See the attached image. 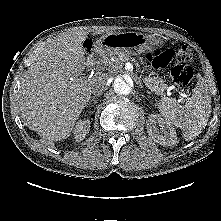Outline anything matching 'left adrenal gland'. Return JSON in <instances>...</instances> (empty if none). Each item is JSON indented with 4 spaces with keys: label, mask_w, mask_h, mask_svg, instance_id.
I'll return each instance as SVG.
<instances>
[{
    "label": "left adrenal gland",
    "mask_w": 221,
    "mask_h": 221,
    "mask_svg": "<svg viewBox=\"0 0 221 221\" xmlns=\"http://www.w3.org/2000/svg\"><path fill=\"white\" fill-rule=\"evenodd\" d=\"M146 92H147L148 94H151V92H150V91H148V90H147Z\"/></svg>",
    "instance_id": "left-adrenal-gland-1"
}]
</instances>
